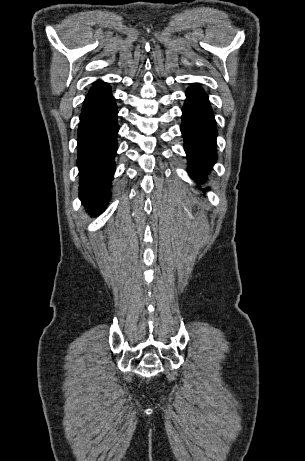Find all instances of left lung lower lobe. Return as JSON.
Returning <instances> with one entry per match:
<instances>
[{"mask_svg": "<svg viewBox=\"0 0 305 461\" xmlns=\"http://www.w3.org/2000/svg\"><path fill=\"white\" fill-rule=\"evenodd\" d=\"M186 96L181 132L189 174L197 181H205L208 171L217 160L215 117L208 97L199 85L189 87Z\"/></svg>", "mask_w": 305, "mask_h": 461, "instance_id": "obj_1", "label": "left lung lower lobe"}]
</instances>
